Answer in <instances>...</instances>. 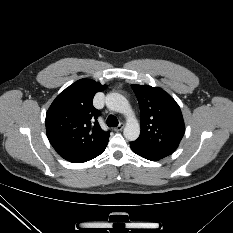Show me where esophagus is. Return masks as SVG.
Returning <instances> with one entry per match:
<instances>
[{"label": "esophagus", "instance_id": "34e87169", "mask_svg": "<svg viewBox=\"0 0 233 233\" xmlns=\"http://www.w3.org/2000/svg\"><path fill=\"white\" fill-rule=\"evenodd\" d=\"M124 128V124L120 123L117 127L114 128L115 131H121Z\"/></svg>", "mask_w": 233, "mask_h": 233}]
</instances>
